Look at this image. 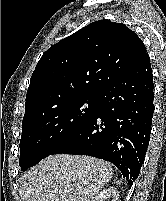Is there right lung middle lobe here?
<instances>
[{
    "instance_id": "obj_1",
    "label": "right lung middle lobe",
    "mask_w": 166,
    "mask_h": 201,
    "mask_svg": "<svg viewBox=\"0 0 166 201\" xmlns=\"http://www.w3.org/2000/svg\"><path fill=\"white\" fill-rule=\"evenodd\" d=\"M98 96L80 97L22 122L19 165L24 171L52 152L82 127L97 109Z\"/></svg>"
}]
</instances>
